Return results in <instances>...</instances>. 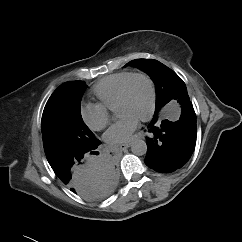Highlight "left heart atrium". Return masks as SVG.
<instances>
[{
  "mask_svg": "<svg viewBox=\"0 0 242 242\" xmlns=\"http://www.w3.org/2000/svg\"><path fill=\"white\" fill-rule=\"evenodd\" d=\"M138 123L137 117L125 114L106 131L104 138L110 144L126 143L131 139Z\"/></svg>",
  "mask_w": 242,
  "mask_h": 242,
  "instance_id": "1",
  "label": "left heart atrium"
}]
</instances>
